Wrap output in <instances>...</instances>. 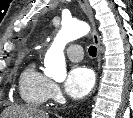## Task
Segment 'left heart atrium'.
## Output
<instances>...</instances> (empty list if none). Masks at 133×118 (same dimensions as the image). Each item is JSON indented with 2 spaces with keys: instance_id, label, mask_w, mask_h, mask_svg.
<instances>
[{
  "instance_id": "39dd6f15",
  "label": "left heart atrium",
  "mask_w": 133,
  "mask_h": 118,
  "mask_svg": "<svg viewBox=\"0 0 133 118\" xmlns=\"http://www.w3.org/2000/svg\"><path fill=\"white\" fill-rule=\"evenodd\" d=\"M94 83L95 76L91 69L75 66L68 73L64 87L70 97L79 99L91 92Z\"/></svg>"
}]
</instances>
